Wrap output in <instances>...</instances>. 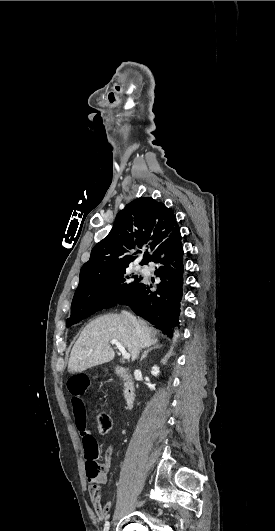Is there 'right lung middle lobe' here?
Masks as SVG:
<instances>
[{
    "mask_svg": "<svg viewBox=\"0 0 275 531\" xmlns=\"http://www.w3.org/2000/svg\"><path fill=\"white\" fill-rule=\"evenodd\" d=\"M126 268L98 276L78 287L72 300L71 316L67 319L66 326H72L102 309L123 304L142 280L136 275L132 276L135 278L133 282L127 281L129 277L124 276Z\"/></svg>",
    "mask_w": 275,
    "mask_h": 531,
    "instance_id": "dd1d6c3e",
    "label": "right lung middle lobe"
}]
</instances>
